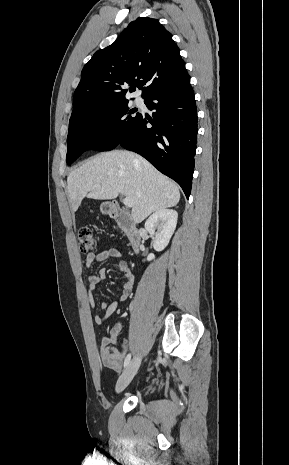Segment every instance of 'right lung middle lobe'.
I'll list each match as a JSON object with an SVG mask.
<instances>
[{
    "label": "right lung middle lobe",
    "instance_id": "right-lung-middle-lobe-1",
    "mask_svg": "<svg viewBox=\"0 0 289 465\" xmlns=\"http://www.w3.org/2000/svg\"><path fill=\"white\" fill-rule=\"evenodd\" d=\"M127 99L101 100L82 104L78 108L76 121L69 127L67 136V164L73 163L86 149L108 151L114 149L120 140L131 132L141 117L134 116ZM110 117L106 128H98L96 119L100 115Z\"/></svg>",
    "mask_w": 289,
    "mask_h": 465
}]
</instances>
